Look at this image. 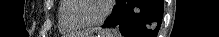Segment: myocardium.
<instances>
[{
  "label": "myocardium",
  "mask_w": 219,
  "mask_h": 37,
  "mask_svg": "<svg viewBox=\"0 0 219 37\" xmlns=\"http://www.w3.org/2000/svg\"><path fill=\"white\" fill-rule=\"evenodd\" d=\"M69 2H71V7L67 12V18L69 19V21L80 28H88V27H95L98 26L100 24H102L106 18L108 17L110 10H111V0H105V8L103 13L101 14V16L95 20L92 21H79L74 17V13L76 12V10L78 9V3L77 0H69Z\"/></svg>",
  "instance_id": "obj_1"
}]
</instances>
